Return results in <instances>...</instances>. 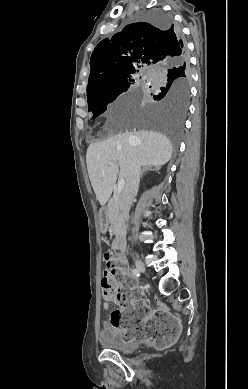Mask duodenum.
<instances>
[{
    "label": "duodenum",
    "mask_w": 248,
    "mask_h": 389,
    "mask_svg": "<svg viewBox=\"0 0 248 389\" xmlns=\"http://www.w3.org/2000/svg\"><path fill=\"white\" fill-rule=\"evenodd\" d=\"M116 248L119 252L123 253L125 251V240L124 236L120 234L116 241Z\"/></svg>",
    "instance_id": "obj_1"
}]
</instances>
